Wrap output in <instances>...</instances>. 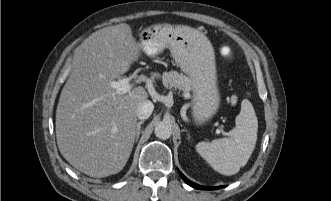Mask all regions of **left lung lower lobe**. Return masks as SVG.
I'll use <instances>...</instances> for the list:
<instances>
[{
	"label": "left lung lower lobe",
	"mask_w": 331,
	"mask_h": 201,
	"mask_svg": "<svg viewBox=\"0 0 331 201\" xmlns=\"http://www.w3.org/2000/svg\"><path fill=\"white\" fill-rule=\"evenodd\" d=\"M180 173V176L182 177V179L188 184L190 185L191 187L193 188H196V189H200V190H214V189H219V188H222V186L220 187H205V186H200L198 184H195L193 182H191L190 180H188L181 172Z\"/></svg>",
	"instance_id": "0a47b994"
}]
</instances>
